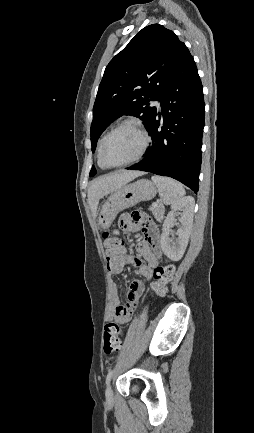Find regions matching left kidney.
Returning <instances> with one entry per match:
<instances>
[{"label":"left kidney","instance_id":"1","mask_svg":"<svg viewBox=\"0 0 254 433\" xmlns=\"http://www.w3.org/2000/svg\"><path fill=\"white\" fill-rule=\"evenodd\" d=\"M194 198L191 196L184 197L171 206V211L168 213L161 234V248L164 254L172 261H179L188 245L190 231L193 224L194 214ZM177 211H182L181 226L178 228L176 235L177 242L174 243L169 237L171 228L176 224L175 214Z\"/></svg>","mask_w":254,"mask_h":433}]
</instances>
